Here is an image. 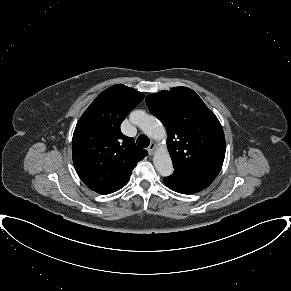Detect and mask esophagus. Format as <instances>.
<instances>
[{"instance_id":"34e87169","label":"esophagus","mask_w":291,"mask_h":291,"mask_svg":"<svg viewBox=\"0 0 291 291\" xmlns=\"http://www.w3.org/2000/svg\"><path fill=\"white\" fill-rule=\"evenodd\" d=\"M155 149H156V144L152 142L149 145V147L147 148L149 155H152L154 153Z\"/></svg>"}]
</instances>
